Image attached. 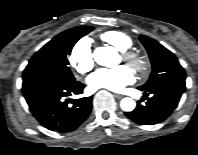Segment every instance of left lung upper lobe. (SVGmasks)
I'll return each instance as SVG.
<instances>
[{
  "mask_svg": "<svg viewBox=\"0 0 198 155\" xmlns=\"http://www.w3.org/2000/svg\"><path fill=\"white\" fill-rule=\"evenodd\" d=\"M139 39L152 63L150 78L139 89L151 90L164 84L185 86L186 73L175 55L152 38L141 35Z\"/></svg>",
  "mask_w": 198,
  "mask_h": 155,
  "instance_id": "1",
  "label": "left lung upper lobe"
}]
</instances>
